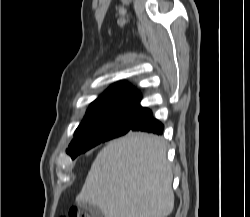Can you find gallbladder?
Instances as JSON below:
<instances>
[{
  "instance_id": "gallbladder-1",
  "label": "gallbladder",
  "mask_w": 250,
  "mask_h": 217,
  "mask_svg": "<svg viewBox=\"0 0 250 217\" xmlns=\"http://www.w3.org/2000/svg\"><path fill=\"white\" fill-rule=\"evenodd\" d=\"M78 207L83 210L88 211L91 217H104L102 211L97 206H94L88 203L79 202Z\"/></svg>"
}]
</instances>
